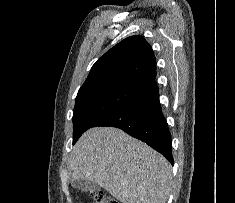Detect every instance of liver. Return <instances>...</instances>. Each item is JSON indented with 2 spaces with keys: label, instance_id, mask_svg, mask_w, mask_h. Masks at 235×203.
<instances>
[{
  "label": "liver",
  "instance_id": "obj_1",
  "mask_svg": "<svg viewBox=\"0 0 235 203\" xmlns=\"http://www.w3.org/2000/svg\"><path fill=\"white\" fill-rule=\"evenodd\" d=\"M72 180L99 185L122 203H166L170 163L144 142L120 129L87 130L73 148Z\"/></svg>",
  "mask_w": 235,
  "mask_h": 203
}]
</instances>
